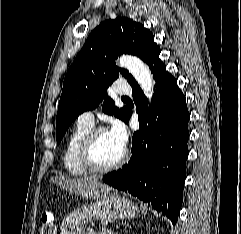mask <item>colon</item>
I'll return each mask as SVG.
<instances>
[{
    "mask_svg": "<svg viewBox=\"0 0 241 234\" xmlns=\"http://www.w3.org/2000/svg\"><path fill=\"white\" fill-rule=\"evenodd\" d=\"M56 230L53 214L49 211L44 212L41 217L39 234H56Z\"/></svg>",
    "mask_w": 241,
    "mask_h": 234,
    "instance_id": "obj_1",
    "label": "colon"
}]
</instances>
